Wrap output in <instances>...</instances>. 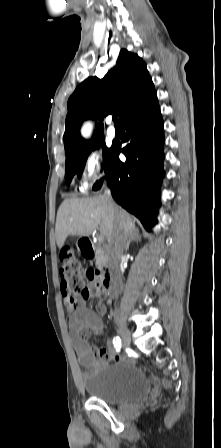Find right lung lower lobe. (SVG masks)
Returning a JSON list of instances; mask_svg holds the SVG:
<instances>
[{"instance_id":"right-lung-lower-lobe-1","label":"right lung lower lobe","mask_w":221,"mask_h":448,"mask_svg":"<svg viewBox=\"0 0 221 448\" xmlns=\"http://www.w3.org/2000/svg\"><path fill=\"white\" fill-rule=\"evenodd\" d=\"M124 133L122 142L112 146L104 168L106 179L115 201L137 216L146 230L157 223L160 206V186L163 170V121L156 92L138 107L127 112L121 120ZM122 152L127 160L121 162ZM102 186L97 181L93 189Z\"/></svg>"}]
</instances>
